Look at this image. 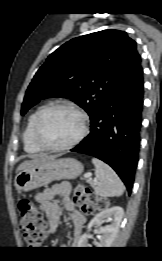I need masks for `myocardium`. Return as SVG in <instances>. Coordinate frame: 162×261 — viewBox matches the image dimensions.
Returning <instances> with one entry per match:
<instances>
[{
  "instance_id": "myocardium-1",
  "label": "myocardium",
  "mask_w": 162,
  "mask_h": 261,
  "mask_svg": "<svg viewBox=\"0 0 162 261\" xmlns=\"http://www.w3.org/2000/svg\"><path fill=\"white\" fill-rule=\"evenodd\" d=\"M56 109H67L74 112L79 118L81 122V128L78 135L70 142L63 144V145H50L44 142L41 136V125L48 113ZM88 126H89V119L87 114L81 110L79 107L75 106L69 102H56L46 106L41 112L38 114L33 131V137L35 143L43 150L52 151V152H59L71 149L78 145L87 135L88 133Z\"/></svg>"
}]
</instances>
